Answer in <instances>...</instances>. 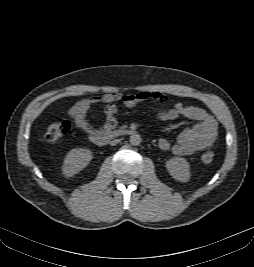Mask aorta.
Returning a JSON list of instances; mask_svg holds the SVG:
<instances>
[{
	"label": "aorta",
	"instance_id": "aorta-1",
	"mask_svg": "<svg viewBox=\"0 0 254 267\" xmlns=\"http://www.w3.org/2000/svg\"><path fill=\"white\" fill-rule=\"evenodd\" d=\"M141 136L139 134H132L130 136V143L133 146H138L141 143Z\"/></svg>",
	"mask_w": 254,
	"mask_h": 267
}]
</instances>
